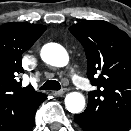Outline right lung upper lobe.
<instances>
[{
	"mask_svg": "<svg viewBox=\"0 0 131 131\" xmlns=\"http://www.w3.org/2000/svg\"><path fill=\"white\" fill-rule=\"evenodd\" d=\"M46 30V26L23 22L0 26V113H13L21 107L32 106L46 99L32 86L21 87L18 76L23 73L22 54Z\"/></svg>",
	"mask_w": 131,
	"mask_h": 131,
	"instance_id": "1",
	"label": "right lung upper lobe"
}]
</instances>
